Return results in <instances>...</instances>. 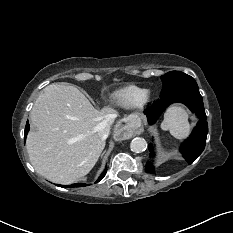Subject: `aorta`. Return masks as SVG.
Returning a JSON list of instances; mask_svg holds the SVG:
<instances>
[{
	"label": "aorta",
	"mask_w": 233,
	"mask_h": 233,
	"mask_svg": "<svg viewBox=\"0 0 233 233\" xmlns=\"http://www.w3.org/2000/svg\"><path fill=\"white\" fill-rule=\"evenodd\" d=\"M147 148V142L144 138L136 137L130 143V149L132 152L141 153Z\"/></svg>",
	"instance_id": "762f6f07"
}]
</instances>
